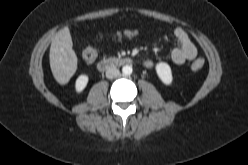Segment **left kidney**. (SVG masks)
Listing matches in <instances>:
<instances>
[{"instance_id":"left-kidney-1","label":"left kidney","mask_w":248,"mask_h":165,"mask_svg":"<svg viewBox=\"0 0 248 165\" xmlns=\"http://www.w3.org/2000/svg\"><path fill=\"white\" fill-rule=\"evenodd\" d=\"M156 72L160 80L166 84L170 85L172 83L173 77L170 66L165 62H160L156 64Z\"/></svg>"}]
</instances>
